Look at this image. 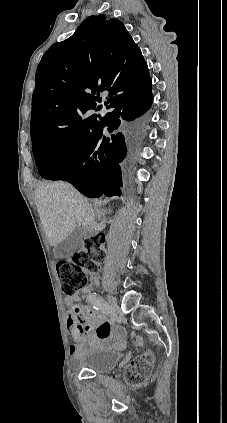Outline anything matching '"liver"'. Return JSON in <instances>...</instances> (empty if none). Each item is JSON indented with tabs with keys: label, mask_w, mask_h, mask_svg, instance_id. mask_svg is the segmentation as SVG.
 <instances>
[{
	"label": "liver",
	"mask_w": 227,
	"mask_h": 423,
	"mask_svg": "<svg viewBox=\"0 0 227 423\" xmlns=\"http://www.w3.org/2000/svg\"><path fill=\"white\" fill-rule=\"evenodd\" d=\"M34 202L50 245H57L71 235L77 223L88 229H97V223H90L88 200L81 196L71 184L50 182L39 184L34 192ZM95 219V217H94Z\"/></svg>",
	"instance_id": "liver-1"
}]
</instances>
